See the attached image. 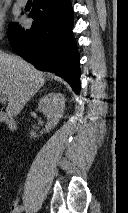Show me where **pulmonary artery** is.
I'll return each instance as SVG.
<instances>
[{"label":"pulmonary artery","mask_w":128,"mask_h":213,"mask_svg":"<svg viewBox=\"0 0 128 213\" xmlns=\"http://www.w3.org/2000/svg\"><path fill=\"white\" fill-rule=\"evenodd\" d=\"M20 7H24L27 4V0H16Z\"/></svg>","instance_id":"e3ab8cb5"}]
</instances>
